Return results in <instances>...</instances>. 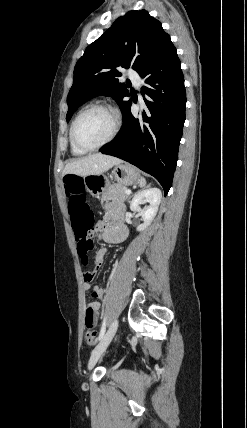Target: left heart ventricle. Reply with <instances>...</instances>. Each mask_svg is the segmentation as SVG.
Returning <instances> with one entry per match:
<instances>
[{"mask_svg": "<svg viewBox=\"0 0 247 428\" xmlns=\"http://www.w3.org/2000/svg\"><path fill=\"white\" fill-rule=\"evenodd\" d=\"M113 119L101 109L91 110L78 120L75 134L77 140L86 146H94L103 142L111 133Z\"/></svg>", "mask_w": 247, "mask_h": 428, "instance_id": "obj_1", "label": "left heart ventricle"}]
</instances>
